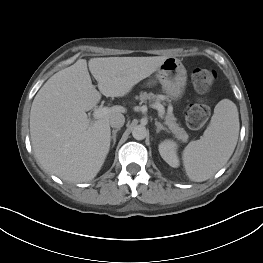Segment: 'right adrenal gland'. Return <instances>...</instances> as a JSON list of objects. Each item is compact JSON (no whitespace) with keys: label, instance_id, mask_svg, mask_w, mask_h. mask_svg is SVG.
I'll return each instance as SVG.
<instances>
[{"label":"right adrenal gland","instance_id":"1","mask_svg":"<svg viewBox=\"0 0 263 263\" xmlns=\"http://www.w3.org/2000/svg\"><path fill=\"white\" fill-rule=\"evenodd\" d=\"M119 130H120L119 128H118V129H115V130H112V136H111V139L113 140L112 147H114L115 144H116V134H117V132H118Z\"/></svg>","mask_w":263,"mask_h":263}]
</instances>
